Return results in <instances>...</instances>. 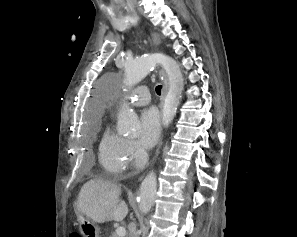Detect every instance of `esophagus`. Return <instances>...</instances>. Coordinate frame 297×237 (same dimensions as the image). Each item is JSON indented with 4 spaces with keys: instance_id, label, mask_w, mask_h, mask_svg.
Segmentation results:
<instances>
[{
    "instance_id": "obj_1",
    "label": "esophagus",
    "mask_w": 297,
    "mask_h": 237,
    "mask_svg": "<svg viewBox=\"0 0 297 237\" xmlns=\"http://www.w3.org/2000/svg\"><path fill=\"white\" fill-rule=\"evenodd\" d=\"M167 90H168V80H167L166 74L163 72V89H162V96H161V104H163Z\"/></svg>"
}]
</instances>
